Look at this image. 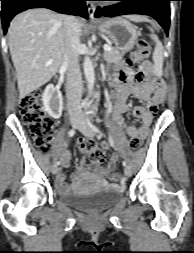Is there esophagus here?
I'll return each instance as SVG.
<instances>
[{
	"mask_svg": "<svg viewBox=\"0 0 194 253\" xmlns=\"http://www.w3.org/2000/svg\"><path fill=\"white\" fill-rule=\"evenodd\" d=\"M87 9H88V15L91 19L94 18V14H95V6L93 3H91L90 1L87 2Z\"/></svg>",
	"mask_w": 194,
	"mask_h": 253,
	"instance_id": "esophagus-1",
	"label": "esophagus"
}]
</instances>
